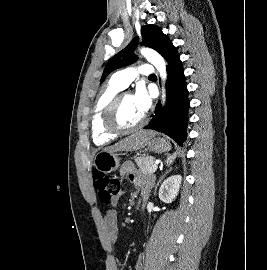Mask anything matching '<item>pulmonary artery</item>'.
Segmentation results:
<instances>
[{"instance_id":"1","label":"pulmonary artery","mask_w":267,"mask_h":270,"mask_svg":"<svg viewBox=\"0 0 267 270\" xmlns=\"http://www.w3.org/2000/svg\"><path fill=\"white\" fill-rule=\"evenodd\" d=\"M154 68L150 64H142L138 67H128L115 72L112 80L122 88H126L138 75H151Z\"/></svg>"}]
</instances>
